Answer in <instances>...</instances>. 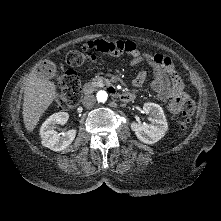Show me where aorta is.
Listing matches in <instances>:
<instances>
[{
    "label": "aorta",
    "instance_id": "obj_1",
    "mask_svg": "<svg viewBox=\"0 0 221 221\" xmlns=\"http://www.w3.org/2000/svg\"><path fill=\"white\" fill-rule=\"evenodd\" d=\"M108 94L106 91H99L97 93V99L99 102H105L107 100Z\"/></svg>",
    "mask_w": 221,
    "mask_h": 221
}]
</instances>
